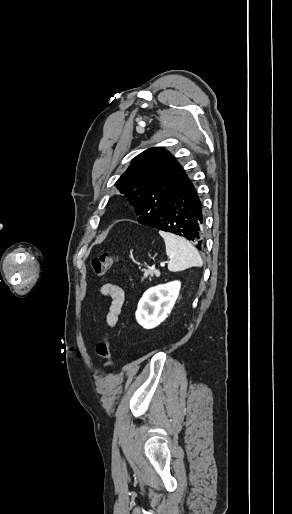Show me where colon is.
<instances>
[{
    "mask_svg": "<svg viewBox=\"0 0 292 514\" xmlns=\"http://www.w3.org/2000/svg\"><path fill=\"white\" fill-rule=\"evenodd\" d=\"M119 260V257L111 251H104L100 256L93 258L91 261V271L95 276L104 275ZM112 338L110 334H106L96 344V354L104 361V367L110 369L112 367L111 360Z\"/></svg>",
    "mask_w": 292,
    "mask_h": 514,
    "instance_id": "1",
    "label": "colon"
}]
</instances>
